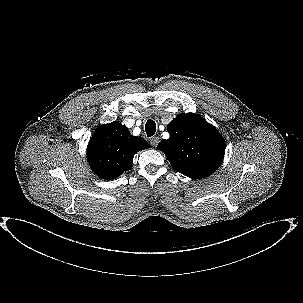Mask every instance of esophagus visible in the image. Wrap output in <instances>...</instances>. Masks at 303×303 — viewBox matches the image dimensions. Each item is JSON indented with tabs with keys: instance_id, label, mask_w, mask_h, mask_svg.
Masks as SVG:
<instances>
[{
	"instance_id": "obj_1",
	"label": "esophagus",
	"mask_w": 303,
	"mask_h": 303,
	"mask_svg": "<svg viewBox=\"0 0 303 303\" xmlns=\"http://www.w3.org/2000/svg\"><path fill=\"white\" fill-rule=\"evenodd\" d=\"M159 143V138L158 137H152L150 139V144L153 146V147H156Z\"/></svg>"
}]
</instances>
